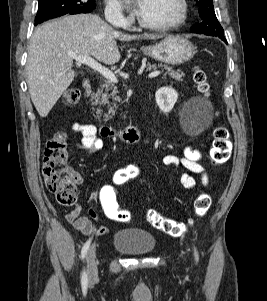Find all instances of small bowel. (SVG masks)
I'll return each mask as SVG.
<instances>
[{
	"instance_id": "1",
	"label": "small bowel",
	"mask_w": 267,
	"mask_h": 301,
	"mask_svg": "<svg viewBox=\"0 0 267 301\" xmlns=\"http://www.w3.org/2000/svg\"><path fill=\"white\" fill-rule=\"evenodd\" d=\"M72 130L81 136V139L77 143L80 149H83L89 153L100 150L103 148L104 141L98 135L97 128L93 124H83L75 122L72 125ZM202 153L200 150L193 148L192 146H186L181 156L174 154H167L163 157V163L167 166L174 167L175 169L184 168L188 172H182L179 177L181 186L186 190H192L196 186L195 178L190 174L200 175V181L203 186L209 184V176L201 164ZM75 182L80 184L82 182L81 176L75 171H71ZM97 200V193H93L90 197V207L88 209V216L81 215L80 206H76L73 210L66 213L65 218L70 222L74 228L85 236H89L92 233L98 235H107L109 228L105 225H97L98 215L95 208Z\"/></svg>"
}]
</instances>
